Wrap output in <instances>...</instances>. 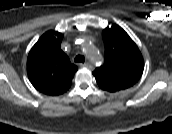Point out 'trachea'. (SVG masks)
Returning a JSON list of instances; mask_svg holds the SVG:
<instances>
[{
  "label": "trachea",
  "instance_id": "trachea-1",
  "mask_svg": "<svg viewBox=\"0 0 172 134\" xmlns=\"http://www.w3.org/2000/svg\"><path fill=\"white\" fill-rule=\"evenodd\" d=\"M75 62H81V63H84V61H85V57L83 56V55H77L76 57H75Z\"/></svg>",
  "mask_w": 172,
  "mask_h": 134
}]
</instances>
